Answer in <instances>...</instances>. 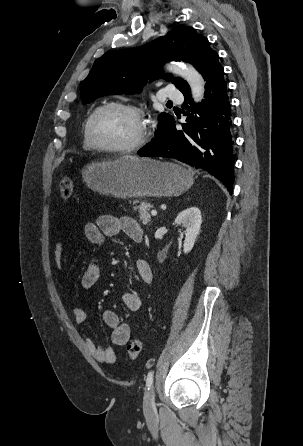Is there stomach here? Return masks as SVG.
<instances>
[{"instance_id":"stomach-1","label":"stomach","mask_w":303,"mask_h":446,"mask_svg":"<svg viewBox=\"0 0 303 446\" xmlns=\"http://www.w3.org/2000/svg\"><path fill=\"white\" fill-rule=\"evenodd\" d=\"M93 191L117 198L176 196L187 191L193 176L182 166L150 158L122 157L93 162L83 172Z\"/></svg>"}]
</instances>
